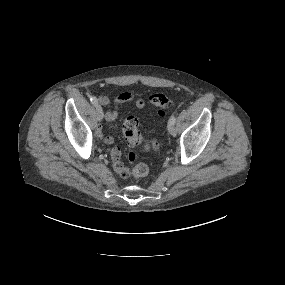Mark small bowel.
<instances>
[{"mask_svg": "<svg viewBox=\"0 0 285 285\" xmlns=\"http://www.w3.org/2000/svg\"><path fill=\"white\" fill-rule=\"evenodd\" d=\"M99 102L101 105L108 108L105 112V119L107 121H113L118 117L119 109L122 105L133 102L137 109H142L145 106V101L142 98H136L133 93L124 91L117 94L113 99L107 96H100ZM97 135L102 138L107 144H113L112 137L107 136L101 129L97 130ZM111 160L114 171L123 178H126L130 171L121 161V151L118 147H113L111 151Z\"/></svg>", "mask_w": 285, "mask_h": 285, "instance_id": "obj_1", "label": "small bowel"}]
</instances>
